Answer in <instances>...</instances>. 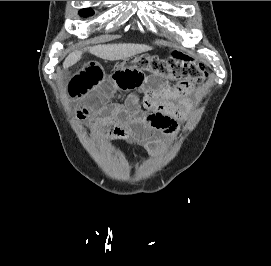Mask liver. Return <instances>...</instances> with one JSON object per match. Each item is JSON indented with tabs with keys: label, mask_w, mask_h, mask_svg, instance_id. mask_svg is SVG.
<instances>
[{
	"label": "liver",
	"mask_w": 271,
	"mask_h": 266,
	"mask_svg": "<svg viewBox=\"0 0 271 266\" xmlns=\"http://www.w3.org/2000/svg\"><path fill=\"white\" fill-rule=\"evenodd\" d=\"M151 50V47L141 44H108L91 47L89 52L104 60H121L132 57ZM82 56L81 51H75L68 55L63 63V68L67 69L76 64Z\"/></svg>",
	"instance_id": "1"
}]
</instances>
